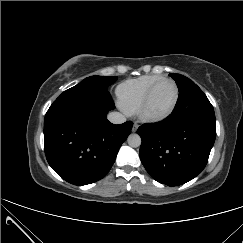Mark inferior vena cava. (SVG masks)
Returning a JSON list of instances; mask_svg holds the SVG:
<instances>
[{
  "mask_svg": "<svg viewBox=\"0 0 243 243\" xmlns=\"http://www.w3.org/2000/svg\"><path fill=\"white\" fill-rule=\"evenodd\" d=\"M108 120L113 124H121L126 121V118L123 114L119 112H111L108 115Z\"/></svg>",
  "mask_w": 243,
  "mask_h": 243,
  "instance_id": "inferior-vena-cava-1",
  "label": "inferior vena cava"
}]
</instances>
